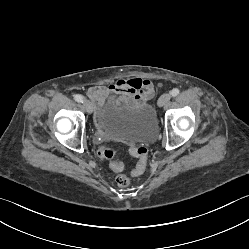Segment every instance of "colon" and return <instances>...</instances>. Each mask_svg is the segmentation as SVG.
<instances>
[{
    "label": "colon",
    "instance_id": "1",
    "mask_svg": "<svg viewBox=\"0 0 249 249\" xmlns=\"http://www.w3.org/2000/svg\"><path fill=\"white\" fill-rule=\"evenodd\" d=\"M131 152L138 158V163L132 171L133 176H140L144 173L147 166L148 148L145 145H137L131 148ZM100 157L110 160L111 168L116 172H121L123 165L120 161L116 160L117 149L113 146H103L99 150ZM130 183V179L124 175L119 174L116 177V184L120 187H126Z\"/></svg>",
    "mask_w": 249,
    "mask_h": 249
}]
</instances>
